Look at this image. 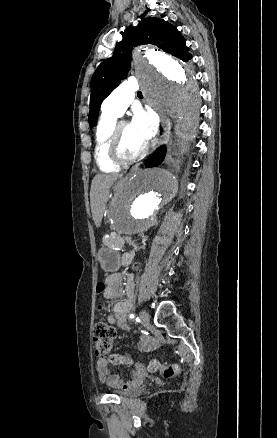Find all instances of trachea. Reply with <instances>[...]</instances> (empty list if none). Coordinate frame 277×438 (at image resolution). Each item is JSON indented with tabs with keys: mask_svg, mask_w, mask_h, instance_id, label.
I'll return each instance as SVG.
<instances>
[{
	"mask_svg": "<svg viewBox=\"0 0 277 438\" xmlns=\"http://www.w3.org/2000/svg\"><path fill=\"white\" fill-rule=\"evenodd\" d=\"M138 95H141V92H138Z\"/></svg>",
	"mask_w": 277,
	"mask_h": 438,
	"instance_id": "3493384b",
	"label": "trachea"
}]
</instances>
